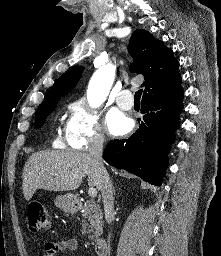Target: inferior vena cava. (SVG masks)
<instances>
[{
	"instance_id": "obj_1",
	"label": "inferior vena cava",
	"mask_w": 221,
	"mask_h": 256,
	"mask_svg": "<svg viewBox=\"0 0 221 256\" xmlns=\"http://www.w3.org/2000/svg\"><path fill=\"white\" fill-rule=\"evenodd\" d=\"M103 143L104 137L102 135H95L92 138L91 145L89 147V153L92 156L94 163L100 172V190L104 203L105 218L108 224H110L114 218V198L112 182L106 168L103 165Z\"/></svg>"
}]
</instances>
